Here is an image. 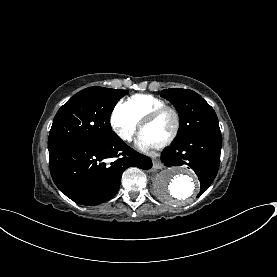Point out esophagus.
Returning <instances> with one entry per match:
<instances>
[{
  "instance_id": "1",
  "label": "esophagus",
  "mask_w": 277,
  "mask_h": 277,
  "mask_svg": "<svg viewBox=\"0 0 277 277\" xmlns=\"http://www.w3.org/2000/svg\"><path fill=\"white\" fill-rule=\"evenodd\" d=\"M152 163L154 169H162L164 167L161 161L157 158L153 159Z\"/></svg>"
}]
</instances>
